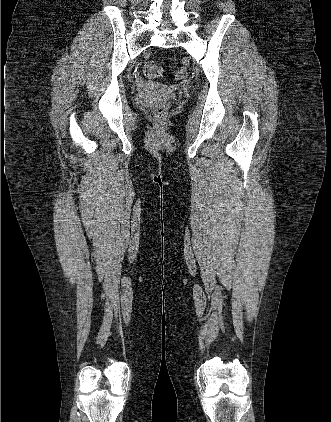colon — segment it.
I'll return each mask as SVG.
<instances>
[{
	"label": "colon",
	"mask_w": 331,
	"mask_h": 422,
	"mask_svg": "<svg viewBox=\"0 0 331 422\" xmlns=\"http://www.w3.org/2000/svg\"><path fill=\"white\" fill-rule=\"evenodd\" d=\"M143 74L147 78H151V79L158 78L162 74V68L159 65V63L155 61H150L144 65ZM181 75L182 73L179 72L178 76H181ZM167 111H168V105L163 104L155 109L154 115L156 118L161 119L167 114Z\"/></svg>",
	"instance_id": "5ec220e1"
}]
</instances>
